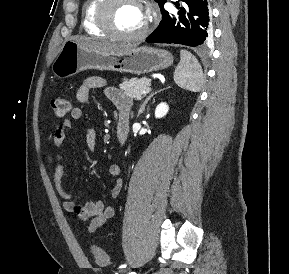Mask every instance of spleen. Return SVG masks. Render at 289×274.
Here are the masks:
<instances>
[{"label":"spleen","mask_w":289,"mask_h":274,"mask_svg":"<svg viewBox=\"0 0 289 274\" xmlns=\"http://www.w3.org/2000/svg\"><path fill=\"white\" fill-rule=\"evenodd\" d=\"M175 83L186 90L198 92L203 85L201 65L194 55L186 50L180 51V62L174 72Z\"/></svg>","instance_id":"spleen-1"}]
</instances>
